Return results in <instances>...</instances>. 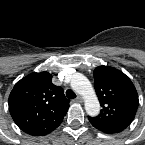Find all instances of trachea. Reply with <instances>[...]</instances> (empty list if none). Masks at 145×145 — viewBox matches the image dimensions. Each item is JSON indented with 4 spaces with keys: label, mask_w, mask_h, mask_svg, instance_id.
<instances>
[{
    "label": "trachea",
    "mask_w": 145,
    "mask_h": 145,
    "mask_svg": "<svg viewBox=\"0 0 145 145\" xmlns=\"http://www.w3.org/2000/svg\"><path fill=\"white\" fill-rule=\"evenodd\" d=\"M66 96H67V98H69V99H74V98H76L75 92L72 91L71 89H68V90L66 91Z\"/></svg>",
    "instance_id": "3493384b"
}]
</instances>
